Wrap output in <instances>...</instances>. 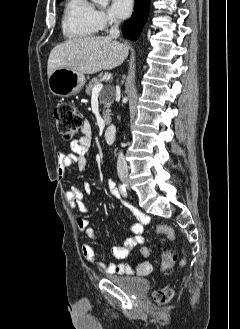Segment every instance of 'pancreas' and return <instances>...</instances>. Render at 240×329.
Wrapping results in <instances>:
<instances>
[{"label": "pancreas", "instance_id": "obj_1", "mask_svg": "<svg viewBox=\"0 0 240 329\" xmlns=\"http://www.w3.org/2000/svg\"><path fill=\"white\" fill-rule=\"evenodd\" d=\"M100 84V80L98 78H93L90 82L89 85L86 87L85 91L88 95H90L92 93L93 88ZM100 103L104 104V107L106 108V110L103 111V119L105 121L106 124H108L110 122V111H109V107L112 104V100L111 99H107L105 96V93H101L100 95Z\"/></svg>", "mask_w": 240, "mask_h": 329}]
</instances>
